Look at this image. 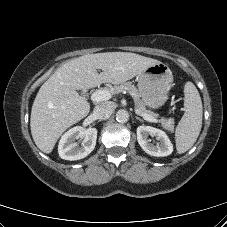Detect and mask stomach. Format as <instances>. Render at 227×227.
<instances>
[{"instance_id": "0dacf381", "label": "stomach", "mask_w": 227, "mask_h": 227, "mask_svg": "<svg viewBox=\"0 0 227 227\" xmlns=\"http://www.w3.org/2000/svg\"><path fill=\"white\" fill-rule=\"evenodd\" d=\"M172 84V71L162 62L151 65L138 74L141 101L151 109H159L166 103Z\"/></svg>"}]
</instances>
